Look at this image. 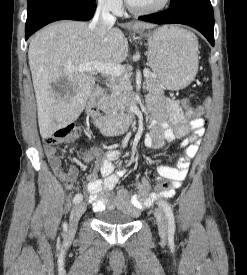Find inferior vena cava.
Here are the masks:
<instances>
[{"label": "inferior vena cava", "instance_id": "obj_1", "mask_svg": "<svg viewBox=\"0 0 247 275\" xmlns=\"http://www.w3.org/2000/svg\"><path fill=\"white\" fill-rule=\"evenodd\" d=\"M116 18L110 14L109 6L104 0H100L89 28L93 29L100 37L105 36L115 24Z\"/></svg>", "mask_w": 247, "mask_h": 275}]
</instances>
